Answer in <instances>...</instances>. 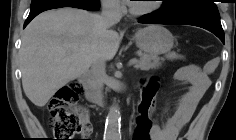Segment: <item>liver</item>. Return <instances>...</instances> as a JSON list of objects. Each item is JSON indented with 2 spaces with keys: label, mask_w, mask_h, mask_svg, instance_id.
<instances>
[{
  "label": "liver",
  "mask_w": 236,
  "mask_h": 140,
  "mask_svg": "<svg viewBox=\"0 0 236 140\" xmlns=\"http://www.w3.org/2000/svg\"><path fill=\"white\" fill-rule=\"evenodd\" d=\"M109 28L99 14L70 7L34 18L23 32L19 51L22 86L30 101L45 106L95 61L113 59L121 37Z\"/></svg>",
  "instance_id": "liver-1"
}]
</instances>
